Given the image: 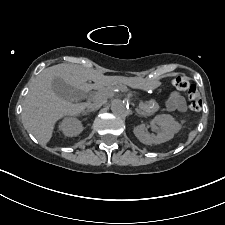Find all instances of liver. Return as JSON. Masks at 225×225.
I'll return each mask as SVG.
<instances>
[{"mask_svg": "<svg viewBox=\"0 0 225 225\" xmlns=\"http://www.w3.org/2000/svg\"><path fill=\"white\" fill-rule=\"evenodd\" d=\"M55 77L63 79L78 91L87 92L93 88L101 89L113 83V78L80 65L58 64L44 69L30 84L23 102L22 118L25 128L43 145L47 144L56 122L68 115L84 111L89 103H73L55 94L52 81ZM92 80L94 85L88 84ZM96 97L94 98V100Z\"/></svg>", "mask_w": 225, "mask_h": 225, "instance_id": "6515ba94", "label": "liver"}]
</instances>
